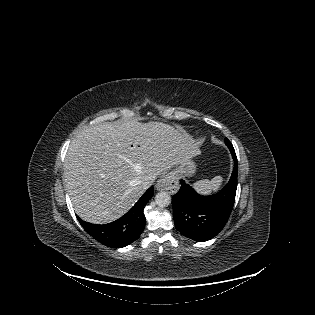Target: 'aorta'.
<instances>
[{
  "mask_svg": "<svg viewBox=\"0 0 315 315\" xmlns=\"http://www.w3.org/2000/svg\"><path fill=\"white\" fill-rule=\"evenodd\" d=\"M155 203L159 207H167L171 203V196L169 195V193L161 191L156 194Z\"/></svg>",
  "mask_w": 315,
  "mask_h": 315,
  "instance_id": "762f6f07",
  "label": "aorta"
}]
</instances>
